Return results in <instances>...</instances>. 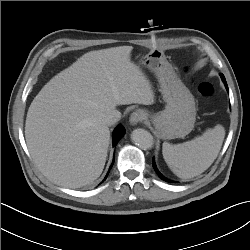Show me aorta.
<instances>
[{"label": "aorta", "instance_id": "aorta-1", "mask_svg": "<svg viewBox=\"0 0 250 250\" xmlns=\"http://www.w3.org/2000/svg\"><path fill=\"white\" fill-rule=\"evenodd\" d=\"M131 140L142 149H150L154 144L151 133L142 128L132 131Z\"/></svg>", "mask_w": 250, "mask_h": 250}]
</instances>
